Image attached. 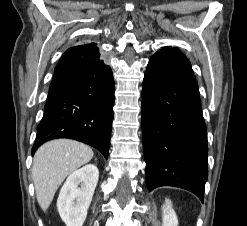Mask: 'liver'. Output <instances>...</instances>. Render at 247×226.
<instances>
[{"instance_id": "obj_1", "label": "liver", "mask_w": 247, "mask_h": 226, "mask_svg": "<svg viewBox=\"0 0 247 226\" xmlns=\"http://www.w3.org/2000/svg\"><path fill=\"white\" fill-rule=\"evenodd\" d=\"M93 155L90 147L69 139L49 141L36 151L32 179L37 201L43 211L49 208L55 192L65 178L88 163Z\"/></svg>"}]
</instances>
